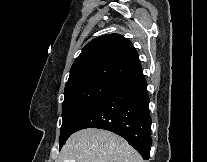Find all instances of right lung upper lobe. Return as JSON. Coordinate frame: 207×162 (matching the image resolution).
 <instances>
[{"instance_id": "right-lung-upper-lobe-1", "label": "right lung upper lobe", "mask_w": 207, "mask_h": 162, "mask_svg": "<svg viewBox=\"0 0 207 162\" xmlns=\"http://www.w3.org/2000/svg\"><path fill=\"white\" fill-rule=\"evenodd\" d=\"M141 72L138 54L129 40L107 34L90 41L74 61L65 92L89 85L117 86Z\"/></svg>"}]
</instances>
